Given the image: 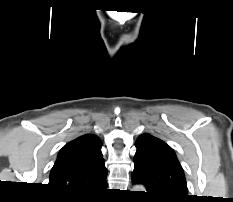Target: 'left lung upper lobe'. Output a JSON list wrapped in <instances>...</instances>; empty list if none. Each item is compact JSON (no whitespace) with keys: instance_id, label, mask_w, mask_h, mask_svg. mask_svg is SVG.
Listing matches in <instances>:
<instances>
[{"instance_id":"1","label":"left lung upper lobe","mask_w":233,"mask_h":202,"mask_svg":"<svg viewBox=\"0 0 233 202\" xmlns=\"http://www.w3.org/2000/svg\"><path fill=\"white\" fill-rule=\"evenodd\" d=\"M136 147L132 181L144 184L152 200L185 201L188 198L186 180L173 149L147 133L138 137Z\"/></svg>"}]
</instances>
